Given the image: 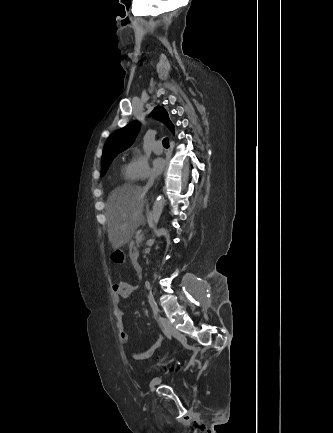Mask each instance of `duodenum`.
<instances>
[{
	"mask_svg": "<svg viewBox=\"0 0 333 433\" xmlns=\"http://www.w3.org/2000/svg\"><path fill=\"white\" fill-rule=\"evenodd\" d=\"M134 245H135V242L134 241H130L129 242V249H134ZM131 262L134 263L133 267L137 268V274H138L139 278H143L144 277V271H143L142 267H139V263H136L137 259L136 258H132Z\"/></svg>",
	"mask_w": 333,
	"mask_h": 433,
	"instance_id": "obj_1",
	"label": "duodenum"
}]
</instances>
